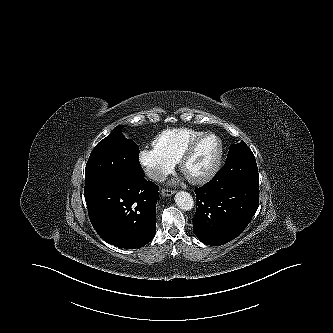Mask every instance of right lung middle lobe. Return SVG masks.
Instances as JSON below:
<instances>
[{
  "instance_id": "dd1d6c3e",
  "label": "right lung middle lobe",
  "mask_w": 333,
  "mask_h": 333,
  "mask_svg": "<svg viewBox=\"0 0 333 333\" xmlns=\"http://www.w3.org/2000/svg\"><path fill=\"white\" fill-rule=\"evenodd\" d=\"M122 126L115 127L92 150L85 169L84 193L102 186L142 176L139 146L125 138Z\"/></svg>"
}]
</instances>
